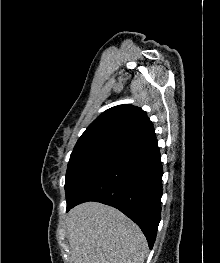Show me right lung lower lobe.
<instances>
[{"instance_id": "right-lung-lower-lobe-1", "label": "right lung lower lobe", "mask_w": 220, "mask_h": 263, "mask_svg": "<svg viewBox=\"0 0 220 263\" xmlns=\"http://www.w3.org/2000/svg\"><path fill=\"white\" fill-rule=\"evenodd\" d=\"M162 175L154 136L121 150L67 205V212L86 201L113 206L141 228L152 248L161 217Z\"/></svg>"}]
</instances>
